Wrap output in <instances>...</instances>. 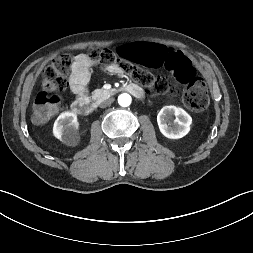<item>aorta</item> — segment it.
<instances>
[{
	"instance_id": "1",
	"label": "aorta",
	"mask_w": 253,
	"mask_h": 253,
	"mask_svg": "<svg viewBox=\"0 0 253 253\" xmlns=\"http://www.w3.org/2000/svg\"><path fill=\"white\" fill-rule=\"evenodd\" d=\"M131 101H132L131 96L127 93H123L118 97V103L122 107L129 106L131 104Z\"/></svg>"
}]
</instances>
